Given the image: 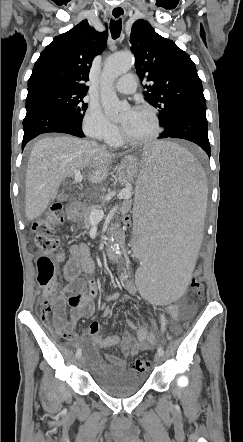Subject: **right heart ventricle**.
Segmentation results:
<instances>
[{
    "mask_svg": "<svg viewBox=\"0 0 243 442\" xmlns=\"http://www.w3.org/2000/svg\"><path fill=\"white\" fill-rule=\"evenodd\" d=\"M113 143H114V144H118V141H117V140H115V141H113Z\"/></svg>",
    "mask_w": 243,
    "mask_h": 442,
    "instance_id": "right-heart-ventricle-1",
    "label": "right heart ventricle"
}]
</instances>
